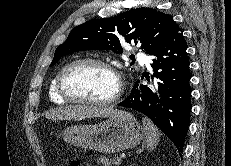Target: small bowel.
<instances>
[{"label": "small bowel", "mask_w": 231, "mask_h": 166, "mask_svg": "<svg viewBox=\"0 0 231 166\" xmlns=\"http://www.w3.org/2000/svg\"><path fill=\"white\" fill-rule=\"evenodd\" d=\"M85 166H90V165H88V164H85Z\"/></svg>", "instance_id": "1"}]
</instances>
